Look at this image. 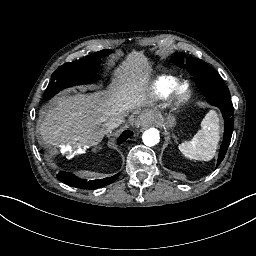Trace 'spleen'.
I'll use <instances>...</instances> for the list:
<instances>
[{"mask_svg":"<svg viewBox=\"0 0 256 256\" xmlns=\"http://www.w3.org/2000/svg\"><path fill=\"white\" fill-rule=\"evenodd\" d=\"M219 142V120L215 111H209L201 122V130L189 142L178 145L188 159L209 161L216 153Z\"/></svg>","mask_w":256,"mask_h":256,"instance_id":"spleen-1","label":"spleen"}]
</instances>
